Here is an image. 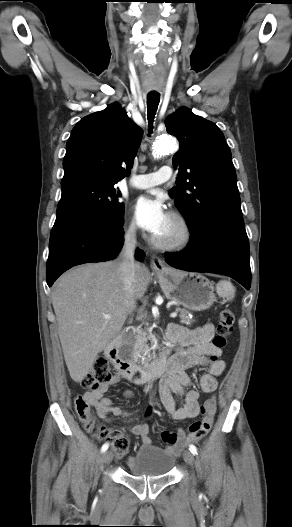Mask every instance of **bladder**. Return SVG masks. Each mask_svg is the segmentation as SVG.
Listing matches in <instances>:
<instances>
[{
  "mask_svg": "<svg viewBox=\"0 0 292 527\" xmlns=\"http://www.w3.org/2000/svg\"><path fill=\"white\" fill-rule=\"evenodd\" d=\"M174 461L173 455L167 450L145 445L127 459V471L135 477L163 476L172 469Z\"/></svg>",
  "mask_w": 292,
  "mask_h": 527,
  "instance_id": "bladder-1",
  "label": "bladder"
}]
</instances>
